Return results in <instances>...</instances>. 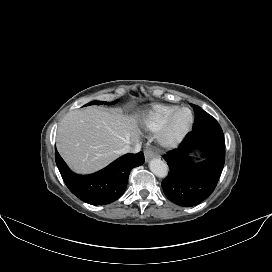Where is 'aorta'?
Wrapping results in <instances>:
<instances>
[{
	"mask_svg": "<svg viewBox=\"0 0 272 272\" xmlns=\"http://www.w3.org/2000/svg\"><path fill=\"white\" fill-rule=\"evenodd\" d=\"M149 168L157 177L164 178L168 175V166L165 161L155 158L150 160Z\"/></svg>",
	"mask_w": 272,
	"mask_h": 272,
	"instance_id": "1",
	"label": "aorta"
}]
</instances>
